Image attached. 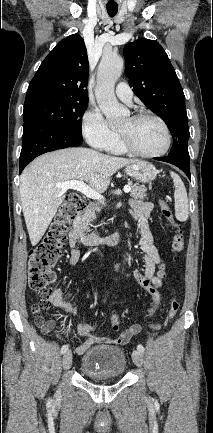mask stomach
<instances>
[{"label": "stomach", "instance_id": "0dacf381", "mask_svg": "<svg viewBox=\"0 0 213 433\" xmlns=\"http://www.w3.org/2000/svg\"><path fill=\"white\" fill-rule=\"evenodd\" d=\"M125 173L139 182L148 183L156 178L157 170L147 161H136L125 167Z\"/></svg>", "mask_w": 213, "mask_h": 433}]
</instances>
